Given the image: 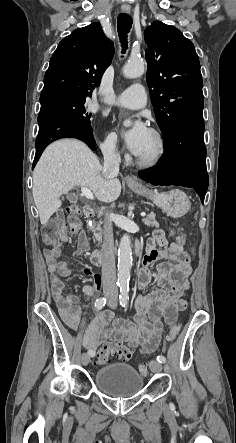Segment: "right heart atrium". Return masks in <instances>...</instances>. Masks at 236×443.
Segmentation results:
<instances>
[{"mask_svg": "<svg viewBox=\"0 0 236 443\" xmlns=\"http://www.w3.org/2000/svg\"><path fill=\"white\" fill-rule=\"evenodd\" d=\"M101 148L105 155L115 157L118 154L117 139L113 134H108L101 142Z\"/></svg>", "mask_w": 236, "mask_h": 443, "instance_id": "obj_1", "label": "right heart atrium"}]
</instances>
